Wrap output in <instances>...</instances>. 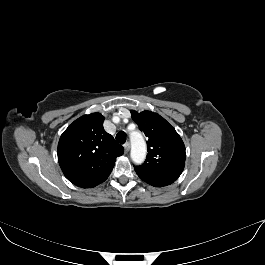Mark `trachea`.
<instances>
[{
  "mask_svg": "<svg viewBox=\"0 0 265 265\" xmlns=\"http://www.w3.org/2000/svg\"><path fill=\"white\" fill-rule=\"evenodd\" d=\"M116 140L118 143L124 144L126 142V133L124 131L117 133Z\"/></svg>",
  "mask_w": 265,
  "mask_h": 265,
  "instance_id": "1",
  "label": "trachea"
}]
</instances>
